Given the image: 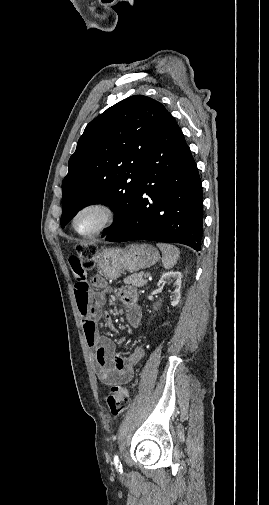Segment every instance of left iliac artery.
<instances>
[{"instance_id": "1", "label": "left iliac artery", "mask_w": 269, "mask_h": 505, "mask_svg": "<svg viewBox=\"0 0 269 505\" xmlns=\"http://www.w3.org/2000/svg\"><path fill=\"white\" fill-rule=\"evenodd\" d=\"M114 464H115V467L116 469L119 471V472H122V465L119 461V458H118V455H115L114 456Z\"/></svg>"}]
</instances>
